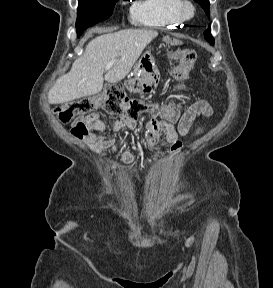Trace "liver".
I'll use <instances>...</instances> for the list:
<instances>
[{
    "mask_svg": "<svg viewBox=\"0 0 273 288\" xmlns=\"http://www.w3.org/2000/svg\"><path fill=\"white\" fill-rule=\"evenodd\" d=\"M91 40L84 54L72 65L69 73L59 77L49 90L50 104H63L99 93L104 80L117 83L124 79L145 47L158 36L148 29L104 30ZM114 61L103 77L104 68Z\"/></svg>",
    "mask_w": 273,
    "mask_h": 288,
    "instance_id": "obj_1",
    "label": "liver"
}]
</instances>
